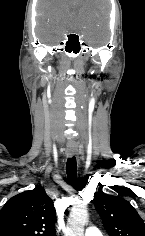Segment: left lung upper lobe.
Listing matches in <instances>:
<instances>
[{
  "instance_id": "obj_1",
  "label": "left lung upper lobe",
  "mask_w": 145,
  "mask_h": 236,
  "mask_svg": "<svg viewBox=\"0 0 145 236\" xmlns=\"http://www.w3.org/2000/svg\"><path fill=\"white\" fill-rule=\"evenodd\" d=\"M98 211L109 236H145V224L126 200L102 194L95 198Z\"/></svg>"
}]
</instances>
